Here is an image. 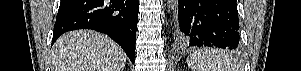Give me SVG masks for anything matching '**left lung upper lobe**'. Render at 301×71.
<instances>
[{
  "mask_svg": "<svg viewBox=\"0 0 301 71\" xmlns=\"http://www.w3.org/2000/svg\"><path fill=\"white\" fill-rule=\"evenodd\" d=\"M177 39H179V35H178V33H177Z\"/></svg>",
  "mask_w": 301,
  "mask_h": 71,
  "instance_id": "1",
  "label": "left lung upper lobe"
}]
</instances>
